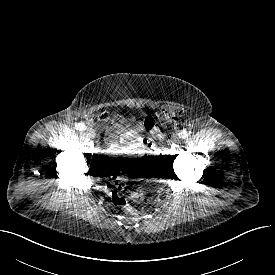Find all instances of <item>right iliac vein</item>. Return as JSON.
I'll return each mask as SVG.
<instances>
[{
	"label": "right iliac vein",
	"mask_w": 275,
	"mask_h": 275,
	"mask_svg": "<svg viewBox=\"0 0 275 275\" xmlns=\"http://www.w3.org/2000/svg\"><path fill=\"white\" fill-rule=\"evenodd\" d=\"M86 133L92 138L95 137V131L90 127L87 128Z\"/></svg>",
	"instance_id": "1"
}]
</instances>
